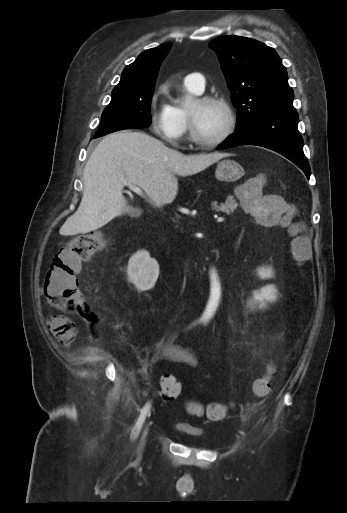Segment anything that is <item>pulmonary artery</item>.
<instances>
[{
    "mask_svg": "<svg viewBox=\"0 0 347 513\" xmlns=\"http://www.w3.org/2000/svg\"><path fill=\"white\" fill-rule=\"evenodd\" d=\"M185 83L191 86L197 93H201L205 88L206 79L202 73L195 72L185 77Z\"/></svg>",
    "mask_w": 347,
    "mask_h": 513,
    "instance_id": "pulmonary-artery-1",
    "label": "pulmonary artery"
}]
</instances>
